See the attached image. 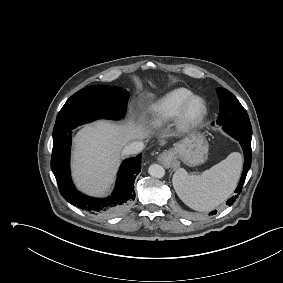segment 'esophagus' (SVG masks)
<instances>
[{"label": "esophagus", "mask_w": 283, "mask_h": 283, "mask_svg": "<svg viewBox=\"0 0 283 283\" xmlns=\"http://www.w3.org/2000/svg\"><path fill=\"white\" fill-rule=\"evenodd\" d=\"M158 160L164 165V166H170L172 163V154L170 152H163L159 155Z\"/></svg>", "instance_id": "1"}]
</instances>
